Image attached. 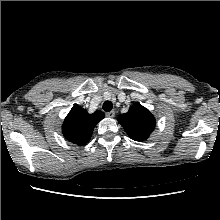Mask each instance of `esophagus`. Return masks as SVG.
<instances>
[{
  "label": "esophagus",
  "mask_w": 220,
  "mask_h": 220,
  "mask_svg": "<svg viewBox=\"0 0 220 220\" xmlns=\"http://www.w3.org/2000/svg\"><path fill=\"white\" fill-rule=\"evenodd\" d=\"M106 116L109 117V118H113L115 116V112L113 110L110 111V112H107Z\"/></svg>",
  "instance_id": "obj_1"
}]
</instances>
